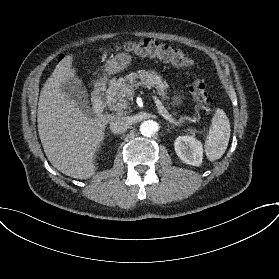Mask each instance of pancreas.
Instances as JSON below:
<instances>
[{
	"label": "pancreas",
	"instance_id": "obj_1",
	"mask_svg": "<svg viewBox=\"0 0 279 279\" xmlns=\"http://www.w3.org/2000/svg\"><path fill=\"white\" fill-rule=\"evenodd\" d=\"M138 80L145 87L154 86L161 95L168 88V84L162 81L161 76L156 72L146 69H138L136 72H131L123 78H119L117 83L112 85L106 91V104L112 110H124L130 108V102L133 101L135 91L132 87ZM187 118L180 117L179 121L183 124Z\"/></svg>",
	"mask_w": 279,
	"mask_h": 279
}]
</instances>
